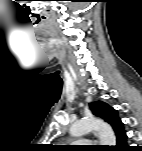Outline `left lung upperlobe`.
Here are the masks:
<instances>
[{
  "instance_id": "5c2ea615",
  "label": "left lung upper lobe",
  "mask_w": 142,
  "mask_h": 151,
  "mask_svg": "<svg viewBox=\"0 0 142 151\" xmlns=\"http://www.w3.org/2000/svg\"><path fill=\"white\" fill-rule=\"evenodd\" d=\"M90 108L94 115L104 119L112 126L116 136L124 130L123 123L120 118H118L117 111L111 108L108 104L102 101H96L90 103Z\"/></svg>"
}]
</instances>
